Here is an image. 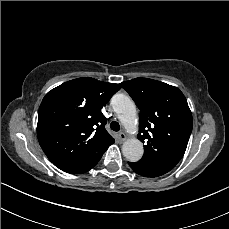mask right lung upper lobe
I'll list each match as a JSON object with an SVG mask.
<instances>
[{"label": "right lung upper lobe", "instance_id": "right-lung-upper-lobe-1", "mask_svg": "<svg viewBox=\"0 0 229 229\" xmlns=\"http://www.w3.org/2000/svg\"><path fill=\"white\" fill-rule=\"evenodd\" d=\"M118 84L83 77L49 91L39 108L37 136L48 159L67 173H84L114 139L105 129L102 107Z\"/></svg>", "mask_w": 229, "mask_h": 229}]
</instances>
